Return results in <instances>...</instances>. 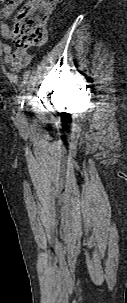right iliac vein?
I'll use <instances>...</instances> for the list:
<instances>
[{
	"label": "right iliac vein",
	"mask_w": 127,
	"mask_h": 303,
	"mask_svg": "<svg viewBox=\"0 0 127 303\" xmlns=\"http://www.w3.org/2000/svg\"><path fill=\"white\" fill-rule=\"evenodd\" d=\"M18 120L19 121L23 120V114H22L21 110L18 112Z\"/></svg>",
	"instance_id": "1"
}]
</instances>
